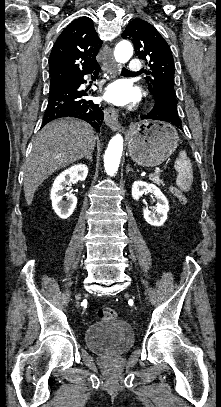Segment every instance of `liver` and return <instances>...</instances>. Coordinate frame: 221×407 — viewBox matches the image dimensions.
Instances as JSON below:
<instances>
[{
    "mask_svg": "<svg viewBox=\"0 0 221 407\" xmlns=\"http://www.w3.org/2000/svg\"><path fill=\"white\" fill-rule=\"evenodd\" d=\"M96 137L86 122L72 118L55 120L36 135L24 166L23 189L28 205L48 176L92 153Z\"/></svg>",
    "mask_w": 221,
    "mask_h": 407,
    "instance_id": "obj_1",
    "label": "liver"
}]
</instances>
